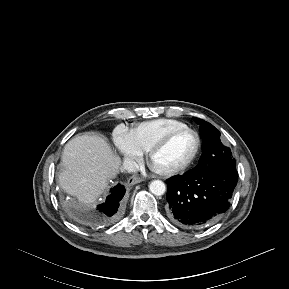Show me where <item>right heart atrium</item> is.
Wrapping results in <instances>:
<instances>
[{"label": "right heart atrium", "mask_w": 289, "mask_h": 289, "mask_svg": "<svg viewBox=\"0 0 289 289\" xmlns=\"http://www.w3.org/2000/svg\"><path fill=\"white\" fill-rule=\"evenodd\" d=\"M115 144L126 161L135 162L142 157V152L135 146L128 132H119L115 137Z\"/></svg>", "instance_id": "obj_1"}]
</instances>
